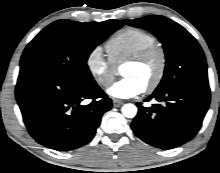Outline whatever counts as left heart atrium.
Wrapping results in <instances>:
<instances>
[{"instance_id":"obj_1","label":"left heart atrium","mask_w":220,"mask_h":173,"mask_svg":"<svg viewBox=\"0 0 220 173\" xmlns=\"http://www.w3.org/2000/svg\"><path fill=\"white\" fill-rule=\"evenodd\" d=\"M144 85L134 77H125L113 83L107 90L108 94L118 99H128L141 94Z\"/></svg>"}]
</instances>
